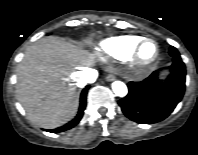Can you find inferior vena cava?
<instances>
[{
  "label": "inferior vena cava",
  "instance_id": "inferior-vena-cava-1",
  "mask_svg": "<svg viewBox=\"0 0 198 155\" xmlns=\"http://www.w3.org/2000/svg\"><path fill=\"white\" fill-rule=\"evenodd\" d=\"M84 83H92L98 77V72L94 69H85L80 76Z\"/></svg>",
  "mask_w": 198,
  "mask_h": 155
}]
</instances>
